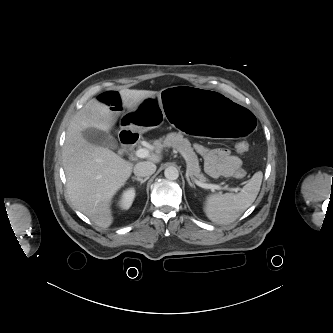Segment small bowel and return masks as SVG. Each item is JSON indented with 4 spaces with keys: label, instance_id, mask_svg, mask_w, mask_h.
Listing matches in <instances>:
<instances>
[{
    "label": "small bowel",
    "instance_id": "obj_1",
    "mask_svg": "<svg viewBox=\"0 0 333 333\" xmlns=\"http://www.w3.org/2000/svg\"><path fill=\"white\" fill-rule=\"evenodd\" d=\"M97 100L113 112H120L123 109V100L117 91L103 92ZM196 149L203 156L205 169L212 177L229 176L241 165V160L230 154L227 149H209L202 145H196Z\"/></svg>",
    "mask_w": 333,
    "mask_h": 333
}]
</instances>
